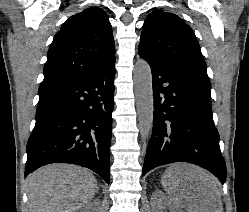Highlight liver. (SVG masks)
Listing matches in <instances>:
<instances>
[{
	"mask_svg": "<svg viewBox=\"0 0 249 212\" xmlns=\"http://www.w3.org/2000/svg\"><path fill=\"white\" fill-rule=\"evenodd\" d=\"M170 168L167 194L172 210L223 212L218 182L212 174L192 164H172ZM96 192L93 174L72 164H49L27 178L29 212H78Z\"/></svg>",
	"mask_w": 249,
	"mask_h": 212,
	"instance_id": "6515ba94",
	"label": "liver"
}]
</instances>
